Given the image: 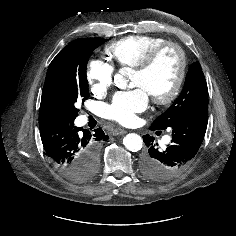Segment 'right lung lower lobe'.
Masks as SVG:
<instances>
[{
    "instance_id": "1",
    "label": "right lung lower lobe",
    "mask_w": 236,
    "mask_h": 236,
    "mask_svg": "<svg viewBox=\"0 0 236 236\" xmlns=\"http://www.w3.org/2000/svg\"><path fill=\"white\" fill-rule=\"evenodd\" d=\"M39 129L46 154L73 181H81L85 168L98 156L100 142L108 139L101 128L91 132L76 127L74 119L41 120Z\"/></svg>"
}]
</instances>
